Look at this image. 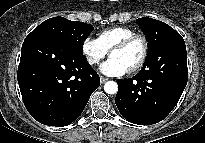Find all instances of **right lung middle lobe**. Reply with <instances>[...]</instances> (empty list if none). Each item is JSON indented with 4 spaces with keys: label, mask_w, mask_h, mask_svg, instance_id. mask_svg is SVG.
Here are the masks:
<instances>
[{
    "label": "right lung middle lobe",
    "mask_w": 205,
    "mask_h": 143,
    "mask_svg": "<svg viewBox=\"0 0 205 143\" xmlns=\"http://www.w3.org/2000/svg\"><path fill=\"white\" fill-rule=\"evenodd\" d=\"M93 29L90 24L70 21L64 17H53L37 26L32 33L51 36L75 51L83 53L84 41Z\"/></svg>",
    "instance_id": "1"
}]
</instances>
